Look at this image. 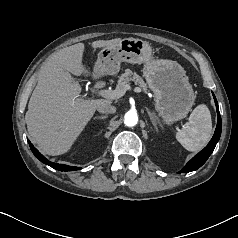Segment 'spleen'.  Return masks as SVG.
<instances>
[{"mask_svg":"<svg viewBox=\"0 0 238 238\" xmlns=\"http://www.w3.org/2000/svg\"><path fill=\"white\" fill-rule=\"evenodd\" d=\"M212 136V120L208 107L198 105L190 114L189 121L176 133L177 141L188 151L204 148Z\"/></svg>","mask_w":238,"mask_h":238,"instance_id":"spleen-1","label":"spleen"}]
</instances>
